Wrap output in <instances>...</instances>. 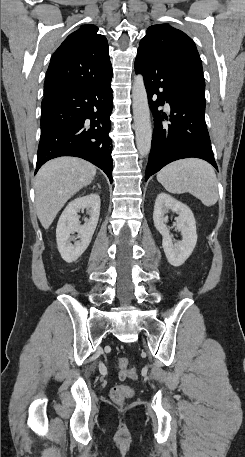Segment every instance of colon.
<instances>
[{
  "instance_id": "colon-1",
  "label": "colon",
  "mask_w": 245,
  "mask_h": 457,
  "mask_svg": "<svg viewBox=\"0 0 245 457\" xmlns=\"http://www.w3.org/2000/svg\"><path fill=\"white\" fill-rule=\"evenodd\" d=\"M117 366L119 369V376L121 379L134 378L135 369L129 368L128 360L124 357H120L117 360ZM132 395V389L127 386L117 385L114 386L110 391L111 399L118 404L123 403L127 397Z\"/></svg>"
}]
</instances>
